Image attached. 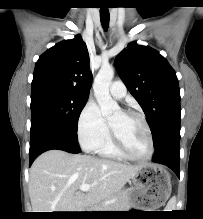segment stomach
<instances>
[{
    "label": "stomach",
    "instance_id": "obj_1",
    "mask_svg": "<svg viewBox=\"0 0 203 219\" xmlns=\"http://www.w3.org/2000/svg\"><path fill=\"white\" fill-rule=\"evenodd\" d=\"M132 183L129 205L133 207L157 209L165 204L171 193L170 174L161 165H142L132 177Z\"/></svg>",
    "mask_w": 203,
    "mask_h": 219
}]
</instances>
